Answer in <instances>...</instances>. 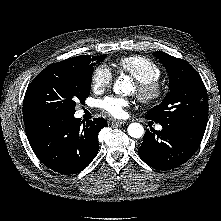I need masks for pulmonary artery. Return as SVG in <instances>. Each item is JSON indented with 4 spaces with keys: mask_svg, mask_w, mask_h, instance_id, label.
<instances>
[{
    "mask_svg": "<svg viewBox=\"0 0 221 221\" xmlns=\"http://www.w3.org/2000/svg\"><path fill=\"white\" fill-rule=\"evenodd\" d=\"M157 129H158V130H161V129H162V126H161V125H158V126H157Z\"/></svg>",
    "mask_w": 221,
    "mask_h": 221,
    "instance_id": "e3ab8cb5",
    "label": "pulmonary artery"
}]
</instances>
